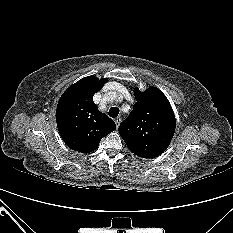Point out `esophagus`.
<instances>
[{
  "label": "esophagus",
  "instance_id": "34e87169",
  "mask_svg": "<svg viewBox=\"0 0 233 233\" xmlns=\"http://www.w3.org/2000/svg\"><path fill=\"white\" fill-rule=\"evenodd\" d=\"M115 123H116V126H117V128H118L119 125H120V123H121V118H120V117H117V118L115 119Z\"/></svg>",
  "mask_w": 233,
  "mask_h": 233
}]
</instances>
